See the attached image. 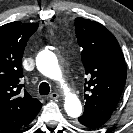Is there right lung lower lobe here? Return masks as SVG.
Segmentation results:
<instances>
[{
	"mask_svg": "<svg viewBox=\"0 0 133 133\" xmlns=\"http://www.w3.org/2000/svg\"><path fill=\"white\" fill-rule=\"evenodd\" d=\"M33 119H34V118H33ZM33 119H32V120H33ZM32 120H31V121H32ZM31 121H29L25 126H27Z\"/></svg>",
	"mask_w": 133,
	"mask_h": 133,
	"instance_id": "1",
	"label": "right lung lower lobe"
}]
</instances>
